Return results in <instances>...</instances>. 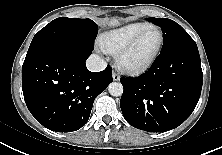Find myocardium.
I'll use <instances>...</instances> for the list:
<instances>
[{
  "label": "myocardium",
  "mask_w": 222,
  "mask_h": 155,
  "mask_svg": "<svg viewBox=\"0 0 222 155\" xmlns=\"http://www.w3.org/2000/svg\"><path fill=\"white\" fill-rule=\"evenodd\" d=\"M151 30H156L159 33V44L152 54V56L141 65H130L127 63L126 58L130 54V52L136 47V45L140 42V40ZM164 43V35L161 29L155 25L150 26L145 29L141 33H139L135 38H133L126 46H124L116 55V63L118 67L129 74L139 75L146 71H148L153 64L156 62Z\"/></svg>",
  "instance_id": "myocardium-1"
}]
</instances>
